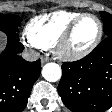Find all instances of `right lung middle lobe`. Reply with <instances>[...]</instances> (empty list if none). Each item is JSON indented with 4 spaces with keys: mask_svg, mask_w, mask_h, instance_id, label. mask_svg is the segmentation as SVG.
I'll use <instances>...</instances> for the list:
<instances>
[{
    "mask_svg": "<svg viewBox=\"0 0 112 112\" xmlns=\"http://www.w3.org/2000/svg\"><path fill=\"white\" fill-rule=\"evenodd\" d=\"M20 22L19 16L0 14V31H3L10 39L19 40L17 31Z\"/></svg>",
    "mask_w": 112,
    "mask_h": 112,
    "instance_id": "right-lung-middle-lobe-1",
    "label": "right lung middle lobe"
}]
</instances>
